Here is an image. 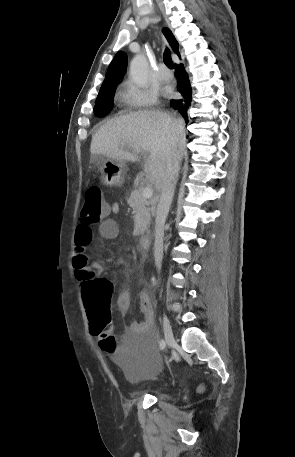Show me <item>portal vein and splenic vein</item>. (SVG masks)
Returning <instances> with one entry per match:
<instances>
[{
    "instance_id": "18ae733b",
    "label": "portal vein and splenic vein",
    "mask_w": 295,
    "mask_h": 457,
    "mask_svg": "<svg viewBox=\"0 0 295 457\" xmlns=\"http://www.w3.org/2000/svg\"><path fill=\"white\" fill-rule=\"evenodd\" d=\"M132 149L137 154L140 153V151H141L140 148H138V147H132ZM142 195L144 198L150 199L153 196L152 187L150 185L146 186L142 191Z\"/></svg>"
}]
</instances>
